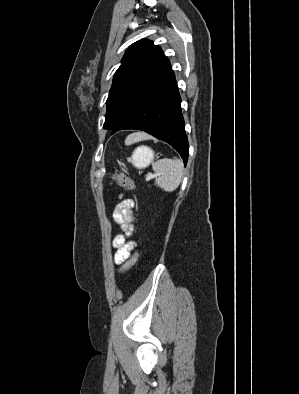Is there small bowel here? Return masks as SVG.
I'll list each match as a JSON object with an SVG mask.
<instances>
[{"mask_svg":"<svg viewBox=\"0 0 299 394\" xmlns=\"http://www.w3.org/2000/svg\"><path fill=\"white\" fill-rule=\"evenodd\" d=\"M134 206L132 199H122L116 204L113 213V218L121 229V233L113 240V247L116 249L114 261L117 265L125 262L136 246L133 241H127L134 229Z\"/></svg>","mask_w":299,"mask_h":394,"instance_id":"1","label":"small bowel"}]
</instances>
